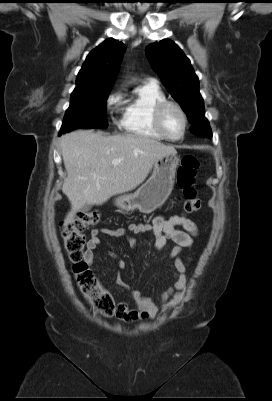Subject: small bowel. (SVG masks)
<instances>
[{
  "label": "small bowel",
  "instance_id": "1",
  "mask_svg": "<svg viewBox=\"0 0 272 401\" xmlns=\"http://www.w3.org/2000/svg\"><path fill=\"white\" fill-rule=\"evenodd\" d=\"M196 224L189 218L181 215H173L166 218L162 215L156 216L148 223H131L127 227L117 228H97L91 231L87 250L84 253V261L88 265L94 262L95 251L101 243V235L114 238H125L132 246L137 245L133 235L151 233L154 237V247L158 251H163L168 241L175 244L168 257L174 259L175 272L173 274V284L160 296L163 309L167 310L176 306L183 297V290L186 285V263L180 257L184 250L191 249L193 238L197 235ZM114 255V254H112ZM126 268L125 261H116L117 283L130 291V296L136 308H130L126 303H119L121 309L118 317L126 322L142 321L158 313L159 308L154 302L145 299L138 290H130V287L121 279L120 271Z\"/></svg>",
  "mask_w": 272,
  "mask_h": 401
}]
</instances>
